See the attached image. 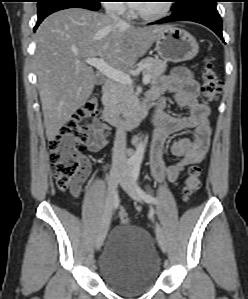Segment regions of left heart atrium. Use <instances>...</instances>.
Wrapping results in <instances>:
<instances>
[{"label":"left heart atrium","instance_id":"39dd6f15","mask_svg":"<svg viewBox=\"0 0 248 299\" xmlns=\"http://www.w3.org/2000/svg\"><path fill=\"white\" fill-rule=\"evenodd\" d=\"M135 6H139L140 4H134Z\"/></svg>","mask_w":248,"mask_h":299}]
</instances>
